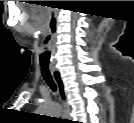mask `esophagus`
<instances>
[{"mask_svg":"<svg viewBox=\"0 0 134 123\" xmlns=\"http://www.w3.org/2000/svg\"><path fill=\"white\" fill-rule=\"evenodd\" d=\"M49 69L52 74L53 80L55 81V84L57 86L59 98L64 106V113L62 115V119H68L70 107L68 105L67 93L65 91V86H64V82L61 77V73L56 67H54L52 65L49 66Z\"/></svg>","mask_w":134,"mask_h":123,"instance_id":"34e87169","label":"esophagus"}]
</instances>
